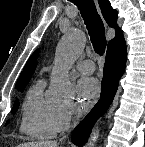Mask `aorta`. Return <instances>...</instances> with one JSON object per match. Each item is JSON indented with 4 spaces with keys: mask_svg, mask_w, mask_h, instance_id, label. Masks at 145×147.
<instances>
[{
    "mask_svg": "<svg viewBox=\"0 0 145 147\" xmlns=\"http://www.w3.org/2000/svg\"><path fill=\"white\" fill-rule=\"evenodd\" d=\"M86 43L84 33L71 28L61 38L55 58V68L51 77L50 99L56 102H63L73 95V85L68 76V69L82 54ZM100 129L96 126L87 147H94L99 138Z\"/></svg>",
    "mask_w": 145,
    "mask_h": 147,
    "instance_id": "aorta-1",
    "label": "aorta"
}]
</instances>
